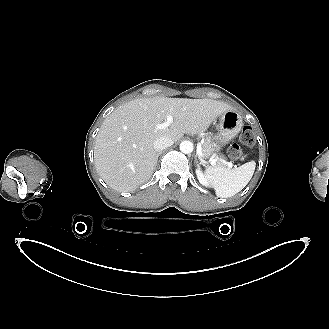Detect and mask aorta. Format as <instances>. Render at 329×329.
Instances as JSON below:
<instances>
[{"label":"aorta","instance_id":"aorta-1","mask_svg":"<svg viewBox=\"0 0 329 329\" xmlns=\"http://www.w3.org/2000/svg\"><path fill=\"white\" fill-rule=\"evenodd\" d=\"M180 150L184 154H189L193 151V143L190 141H182L180 144Z\"/></svg>","mask_w":329,"mask_h":329}]
</instances>
